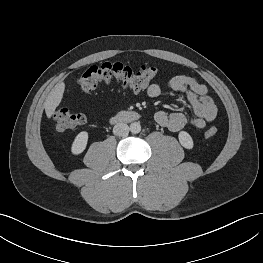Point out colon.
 <instances>
[{"label": "colon", "instance_id": "5ec220e1", "mask_svg": "<svg viewBox=\"0 0 263 263\" xmlns=\"http://www.w3.org/2000/svg\"><path fill=\"white\" fill-rule=\"evenodd\" d=\"M157 69L141 65L133 69L121 63H103L87 68L78 78L77 83L84 91H92L101 84L118 83L134 91L146 88L156 77ZM53 120L58 131H66L86 121L84 114L73 112L66 108L57 109ZM217 127L212 126L206 132V137L217 134Z\"/></svg>", "mask_w": 263, "mask_h": 263}]
</instances>
